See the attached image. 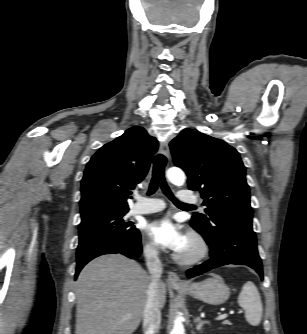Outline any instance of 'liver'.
<instances>
[{
  "mask_svg": "<svg viewBox=\"0 0 307 334\" xmlns=\"http://www.w3.org/2000/svg\"><path fill=\"white\" fill-rule=\"evenodd\" d=\"M149 283L150 276L141 265L121 254L89 262L76 282L75 334H132L143 317ZM159 301L163 308V281L159 283Z\"/></svg>",
  "mask_w": 307,
  "mask_h": 334,
  "instance_id": "obj_1",
  "label": "liver"
}]
</instances>
